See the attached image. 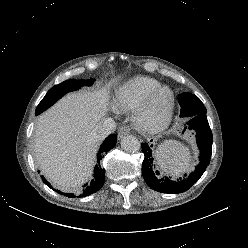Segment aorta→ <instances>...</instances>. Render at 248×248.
<instances>
[{
    "instance_id": "obj_1",
    "label": "aorta",
    "mask_w": 248,
    "mask_h": 248,
    "mask_svg": "<svg viewBox=\"0 0 248 248\" xmlns=\"http://www.w3.org/2000/svg\"><path fill=\"white\" fill-rule=\"evenodd\" d=\"M121 147L128 153H134L140 150V141L133 135H128L121 140Z\"/></svg>"
}]
</instances>
